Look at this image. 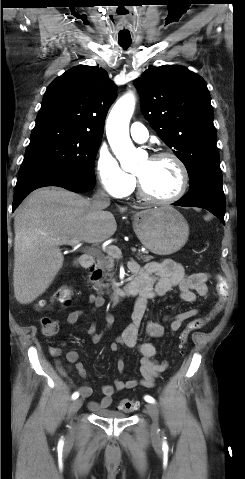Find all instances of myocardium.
<instances>
[{
  "mask_svg": "<svg viewBox=\"0 0 245 479\" xmlns=\"http://www.w3.org/2000/svg\"><path fill=\"white\" fill-rule=\"evenodd\" d=\"M162 158L172 159L176 163L180 171V185L174 195L168 198H156L150 195L146 191L141 177L135 174V185H136L138 195L143 200L152 204H157V205H167V204L176 202L185 194L189 184V172H188L187 166L185 165L184 161L176 153L172 151L164 150V151L153 153L149 156L150 160H158Z\"/></svg>",
  "mask_w": 245,
  "mask_h": 479,
  "instance_id": "1",
  "label": "myocardium"
}]
</instances>
